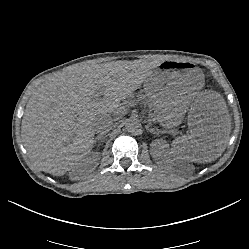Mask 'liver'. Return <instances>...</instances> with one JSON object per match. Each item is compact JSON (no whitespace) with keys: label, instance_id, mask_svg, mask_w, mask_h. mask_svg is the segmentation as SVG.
<instances>
[{"label":"liver","instance_id":"liver-1","mask_svg":"<svg viewBox=\"0 0 249 249\" xmlns=\"http://www.w3.org/2000/svg\"><path fill=\"white\" fill-rule=\"evenodd\" d=\"M152 75L150 67H68L36 87L24 112L21 137L33 165L62 176L80 167L91 152L93 125L115 112ZM100 92L103 98L95 97ZM154 119L171 129L188 112L189 135L172 142L175 159L207 163L222 155L231 133L225 100L216 92H202L192 104L172 106L162 94L151 93Z\"/></svg>","mask_w":249,"mask_h":249}]
</instances>
